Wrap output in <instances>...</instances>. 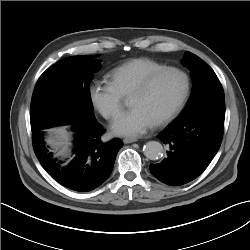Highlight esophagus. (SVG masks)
<instances>
[{
    "instance_id": "1",
    "label": "esophagus",
    "mask_w": 250,
    "mask_h": 250,
    "mask_svg": "<svg viewBox=\"0 0 250 250\" xmlns=\"http://www.w3.org/2000/svg\"><path fill=\"white\" fill-rule=\"evenodd\" d=\"M137 139L136 138H124L123 139V143L128 144V143H133L136 142Z\"/></svg>"
}]
</instances>
